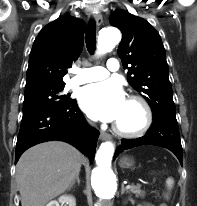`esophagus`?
Masks as SVG:
<instances>
[{"label":"esophagus","mask_w":197,"mask_h":206,"mask_svg":"<svg viewBox=\"0 0 197 206\" xmlns=\"http://www.w3.org/2000/svg\"><path fill=\"white\" fill-rule=\"evenodd\" d=\"M94 19L96 21L97 26L100 27L102 22H103L102 15L100 13H95L94 14ZM100 139L102 141H110L111 140V135L102 131L100 133Z\"/></svg>","instance_id":"34e87169"}]
</instances>
